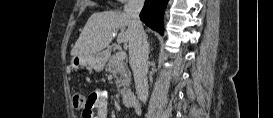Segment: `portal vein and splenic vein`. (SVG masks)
Here are the masks:
<instances>
[{
  "instance_id": "1",
  "label": "portal vein and splenic vein",
  "mask_w": 273,
  "mask_h": 118,
  "mask_svg": "<svg viewBox=\"0 0 273 118\" xmlns=\"http://www.w3.org/2000/svg\"><path fill=\"white\" fill-rule=\"evenodd\" d=\"M116 55H117L119 58H122V59H124V58L126 57V54H125L124 51H120V52H118Z\"/></svg>"
}]
</instances>
